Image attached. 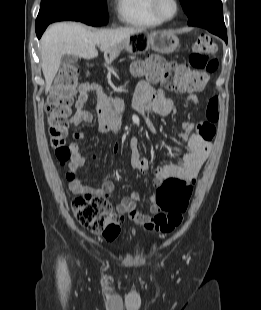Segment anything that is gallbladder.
<instances>
[{
	"instance_id": "bac80fb5",
	"label": "gallbladder",
	"mask_w": 261,
	"mask_h": 310,
	"mask_svg": "<svg viewBox=\"0 0 261 310\" xmlns=\"http://www.w3.org/2000/svg\"><path fill=\"white\" fill-rule=\"evenodd\" d=\"M78 58L77 56L71 55V54H65L61 58V63L64 66H72L75 63H77Z\"/></svg>"
}]
</instances>
